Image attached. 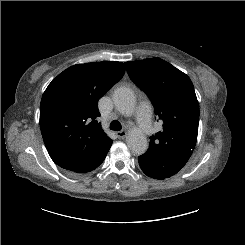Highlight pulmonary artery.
<instances>
[{"label": "pulmonary artery", "mask_w": 245, "mask_h": 245, "mask_svg": "<svg viewBox=\"0 0 245 245\" xmlns=\"http://www.w3.org/2000/svg\"><path fill=\"white\" fill-rule=\"evenodd\" d=\"M153 112L152 105L145 101L137 109V124L139 129L146 135L150 136L154 133V123L152 122L151 114Z\"/></svg>", "instance_id": "pulmonary-artery-1"}]
</instances>
